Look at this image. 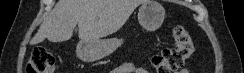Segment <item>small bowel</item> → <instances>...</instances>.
<instances>
[{"label": "small bowel", "mask_w": 244, "mask_h": 73, "mask_svg": "<svg viewBox=\"0 0 244 73\" xmlns=\"http://www.w3.org/2000/svg\"><path fill=\"white\" fill-rule=\"evenodd\" d=\"M113 73H148L145 69L136 66L132 62H126L113 70ZM179 73H189L186 68L180 70Z\"/></svg>", "instance_id": "c3829d8e"}]
</instances>
